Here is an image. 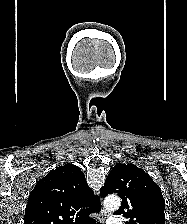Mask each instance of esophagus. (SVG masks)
<instances>
[{
  "instance_id": "obj_1",
  "label": "esophagus",
  "mask_w": 187,
  "mask_h": 224,
  "mask_svg": "<svg viewBox=\"0 0 187 224\" xmlns=\"http://www.w3.org/2000/svg\"><path fill=\"white\" fill-rule=\"evenodd\" d=\"M106 217H107V212L105 209H102L99 214V221L101 222V224H104Z\"/></svg>"
}]
</instances>
